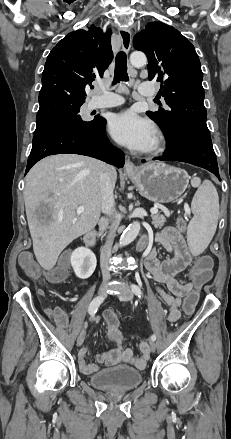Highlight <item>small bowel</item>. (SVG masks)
Here are the masks:
<instances>
[{"label": "small bowel", "mask_w": 231, "mask_h": 439, "mask_svg": "<svg viewBox=\"0 0 231 439\" xmlns=\"http://www.w3.org/2000/svg\"><path fill=\"white\" fill-rule=\"evenodd\" d=\"M148 243L145 266L153 279L166 287L167 291L158 287V293L163 301L169 307L168 319L171 322L177 321L181 315L180 307H183V295L187 291H192L193 282H181L176 276L190 264L192 254L190 253L183 234L174 227H167L154 234L152 238L145 239ZM153 243L160 244L171 254L170 258L160 260L157 257V251ZM183 309V308H182ZM51 316L60 327L68 325V317L61 307H56L50 311ZM106 324L107 335L113 342L114 348L99 353L96 356L98 363L107 366L127 364L138 369H143L149 359L147 343L142 341L139 344L141 355H134L132 349L124 348V338L118 327L117 316L113 312H106L103 316ZM80 369L91 374L98 371L99 366L96 363L88 362V349L83 348L79 352Z\"/></svg>", "instance_id": "small-bowel-1"}]
</instances>
